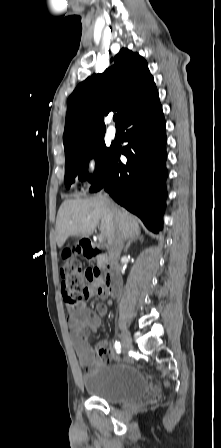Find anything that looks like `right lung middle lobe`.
Listing matches in <instances>:
<instances>
[{"label": "right lung middle lobe", "instance_id": "1", "mask_svg": "<svg viewBox=\"0 0 221 448\" xmlns=\"http://www.w3.org/2000/svg\"><path fill=\"white\" fill-rule=\"evenodd\" d=\"M113 148V145L106 147L102 137L92 141L79 153L67 157L65 161L66 187H70L76 176L79 180L87 179L89 182L99 178L105 170ZM91 158H95L97 167L93 176L87 174L88 163Z\"/></svg>", "mask_w": 221, "mask_h": 448}]
</instances>
